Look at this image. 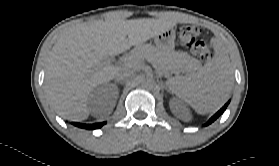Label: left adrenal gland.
Listing matches in <instances>:
<instances>
[{
	"instance_id": "obj_1",
	"label": "left adrenal gland",
	"mask_w": 279,
	"mask_h": 166,
	"mask_svg": "<svg viewBox=\"0 0 279 166\" xmlns=\"http://www.w3.org/2000/svg\"><path fill=\"white\" fill-rule=\"evenodd\" d=\"M162 86H163V88H165L167 91H169L168 90V88H167V86H165V84L162 82Z\"/></svg>"
}]
</instances>
